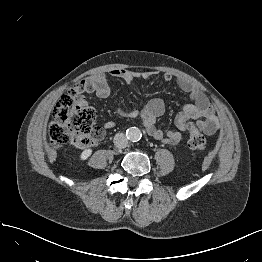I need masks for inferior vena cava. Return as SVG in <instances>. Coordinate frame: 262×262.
I'll list each match as a JSON object with an SVG mask.
<instances>
[{"label":"inferior vena cava","mask_w":262,"mask_h":262,"mask_svg":"<svg viewBox=\"0 0 262 262\" xmlns=\"http://www.w3.org/2000/svg\"><path fill=\"white\" fill-rule=\"evenodd\" d=\"M113 142L116 147L125 148L128 145V138L124 133H117Z\"/></svg>","instance_id":"602c4592"}]
</instances>
